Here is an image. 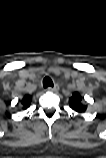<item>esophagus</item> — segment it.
<instances>
[{
    "label": "esophagus",
    "instance_id": "1",
    "mask_svg": "<svg viewBox=\"0 0 106 158\" xmlns=\"http://www.w3.org/2000/svg\"><path fill=\"white\" fill-rule=\"evenodd\" d=\"M48 90L52 92H57L59 90V86L58 84H55L53 87H49Z\"/></svg>",
    "mask_w": 106,
    "mask_h": 158
}]
</instances>
